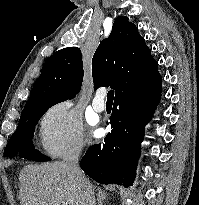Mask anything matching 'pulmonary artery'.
Segmentation results:
<instances>
[{"label":"pulmonary artery","instance_id":"pulmonary-artery-1","mask_svg":"<svg viewBox=\"0 0 199 205\" xmlns=\"http://www.w3.org/2000/svg\"><path fill=\"white\" fill-rule=\"evenodd\" d=\"M92 106L96 112H103L106 108L104 101V91L98 90L93 98Z\"/></svg>","mask_w":199,"mask_h":205}]
</instances>
